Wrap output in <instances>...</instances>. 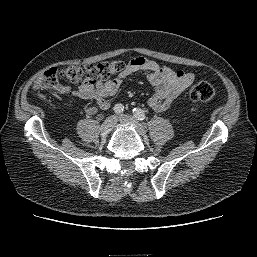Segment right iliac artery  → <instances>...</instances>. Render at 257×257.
<instances>
[{
	"mask_svg": "<svg viewBox=\"0 0 257 257\" xmlns=\"http://www.w3.org/2000/svg\"><path fill=\"white\" fill-rule=\"evenodd\" d=\"M123 110H124V106H123L122 104H116V105L114 106V111H115V113H117V114L122 113Z\"/></svg>",
	"mask_w": 257,
	"mask_h": 257,
	"instance_id": "right-iliac-artery-1",
	"label": "right iliac artery"
}]
</instances>
